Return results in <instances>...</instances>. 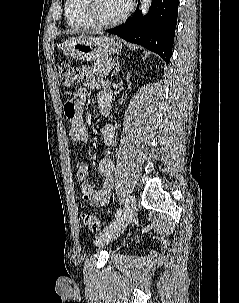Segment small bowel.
<instances>
[{
	"instance_id": "obj_1",
	"label": "small bowel",
	"mask_w": 239,
	"mask_h": 303,
	"mask_svg": "<svg viewBox=\"0 0 239 303\" xmlns=\"http://www.w3.org/2000/svg\"><path fill=\"white\" fill-rule=\"evenodd\" d=\"M81 81L84 88L80 89L69 101L64 105V113L68 120V136L76 145L86 143L89 140V133L83 120V108L87 101V89L97 91V102L99 108L109 109L111 105V91L108 83L101 78H97L91 69L87 66L81 68ZM104 146L106 148L105 157L98 164V173L102 180L97 186H93L86 182L89 175V167L86 163L77 161L76 178L81 182V193L83 199L98 207L104 206L110 199L111 189L114 179L112 176L113 162L111 159L110 148L116 140V129L112 125H107L102 129Z\"/></svg>"
}]
</instances>
